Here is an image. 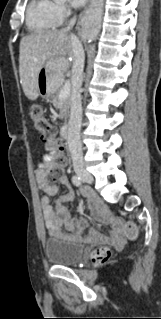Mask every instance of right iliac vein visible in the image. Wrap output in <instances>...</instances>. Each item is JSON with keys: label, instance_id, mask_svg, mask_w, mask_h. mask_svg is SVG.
<instances>
[{"label": "right iliac vein", "instance_id": "obj_1", "mask_svg": "<svg viewBox=\"0 0 161 319\" xmlns=\"http://www.w3.org/2000/svg\"><path fill=\"white\" fill-rule=\"evenodd\" d=\"M77 175L84 181L89 184L93 182V178L89 172L83 169H77L76 170Z\"/></svg>", "mask_w": 161, "mask_h": 319}]
</instances>
